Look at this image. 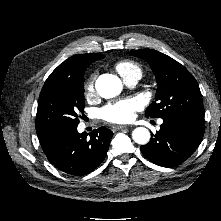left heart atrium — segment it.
Returning <instances> with one entry per match:
<instances>
[{"instance_id": "39dd6f15", "label": "left heart atrium", "mask_w": 221, "mask_h": 221, "mask_svg": "<svg viewBox=\"0 0 221 221\" xmlns=\"http://www.w3.org/2000/svg\"><path fill=\"white\" fill-rule=\"evenodd\" d=\"M141 102L137 98H126L106 105L102 111V118L110 123H128L134 119L135 112L141 109Z\"/></svg>"}]
</instances>
